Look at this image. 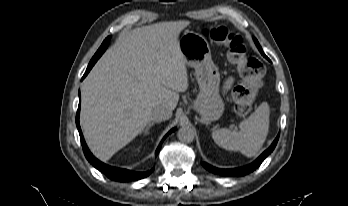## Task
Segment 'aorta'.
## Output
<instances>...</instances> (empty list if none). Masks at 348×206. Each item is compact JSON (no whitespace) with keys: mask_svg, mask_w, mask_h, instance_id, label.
<instances>
[{"mask_svg":"<svg viewBox=\"0 0 348 206\" xmlns=\"http://www.w3.org/2000/svg\"><path fill=\"white\" fill-rule=\"evenodd\" d=\"M177 137L181 142L191 143L194 140V129L189 126H182L177 132Z\"/></svg>","mask_w":348,"mask_h":206,"instance_id":"1","label":"aorta"}]
</instances>
